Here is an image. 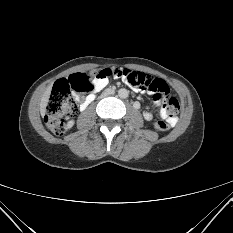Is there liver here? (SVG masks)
Masks as SVG:
<instances>
[{
    "instance_id": "1",
    "label": "liver",
    "mask_w": 233,
    "mask_h": 233,
    "mask_svg": "<svg viewBox=\"0 0 233 233\" xmlns=\"http://www.w3.org/2000/svg\"><path fill=\"white\" fill-rule=\"evenodd\" d=\"M51 88L52 86H48V88L46 89V91L44 92L41 101H40V113L41 115H45L46 113V107L48 105L49 102V98H50V94H51Z\"/></svg>"
}]
</instances>
